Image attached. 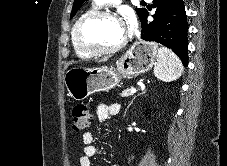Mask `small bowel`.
Returning a JSON list of instances; mask_svg holds the SVG:
<instances>
[{"label":"small bowel","instance_id":"small-bowel-1","mask_svg":"<svg viewBox=\"0 0 227 166\" xmlns=\"http://www.w3.org/2000/svg\"><path fill=\"white\" fill-rule=\"evenodd\" d=\"M120 111V105L113 103L110 105L99 104L96 108V114L99 121H105L115 116ZM94 135L91 132H85L82 135V141L85 145L83 153L80 156V166H92L91 158L100 153L99 149L94 145Z\"/></svg>","mask_w":227,"mask_h":166}]
</instances>
